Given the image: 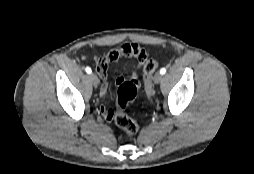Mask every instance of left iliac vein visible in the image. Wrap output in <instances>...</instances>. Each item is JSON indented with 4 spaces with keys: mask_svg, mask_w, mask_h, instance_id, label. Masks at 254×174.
<instances>
[{
    "mask_svg": "<svg viewBox=\"0 0 254 174\" xmlns=\"http://www.w3.org/2000/svg\"><path fill=\"white\" fill-rule=\"evenodd\" d=\"M162 78H163L162 74L160 72H156L153 80L156 84H158L162 81Z\"/></svg>",
    "mask_w": 254,
    "mask_h": 174,
    "instance_id": "1",
    "label": "left iliac vein"
}]
</instances>
